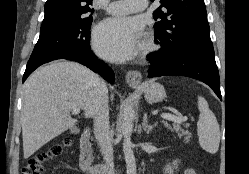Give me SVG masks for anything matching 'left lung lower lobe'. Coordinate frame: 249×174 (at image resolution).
<instances>
[{
    "label": "left lung lower lobe",
    "instance_id": "0a47b994",
    "mask_svg": "<svg viewBox=\"0 0 249 174\" xmlns=\"http://www.w3.org/2000/svg\"><path fill=\"white\" fill-rule=\"evenodd\" d=\"M148 77L186 76L209 85L222 100L220 78L213 47L194 50L175 58H168L161 50L149 58Z\"/></svg>",
    "mask_w": 249,
    "mask_h": 174
}]
</instances>
